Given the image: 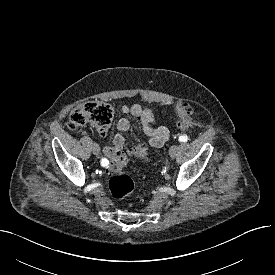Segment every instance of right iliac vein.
Listing matches in <instances>:
<instances>
[{
  "mask_svg": "<svg viewBox=\"0 0 275 275\" xmlns=\"http://www.w3.org/2000/svg\"><path fill=\"white\" fill-rule=\"evenodd\" d=\"M92 152L94 155H98L100 153V147L97 143H94L92 146Z\"/></svg>",
  "mask_w": 275,
  "mask_h": 275,
  "instance_id": "obj_1",
  "label": "right iliac vein"
}]
</instances>
